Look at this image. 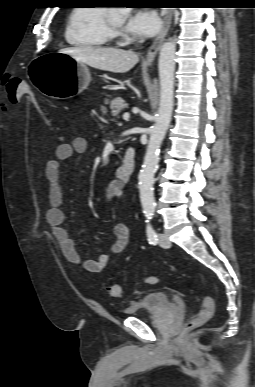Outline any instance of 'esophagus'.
<instances>
[{"mask_svg":"<svg viewBox=\"0 0 255 387\" xmlns=\"http://www.w3.org/2000/svg\"><path fill=\"white\" fill-rule=\"evenodd\" d=\"M163 13H164V18H163V27L160 31V33L158 34V36L156 37V39L154 40V42L152 43V45L150 46L149 50H148V53L144 59V64L145 65H151L152 62L154 61L159 49L161 48V45H162V42L171 26V22H172V16H173V11L172 9H164L163 10Z\"/></svg>","mask_w":255,"mask_h":387,"instance_id":"obj_1","label":"esophagus"}]
</instances>
